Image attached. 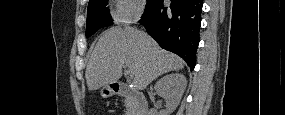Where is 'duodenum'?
Wrapping results in <instances>:
<instances>
[{
    "mask_svg": "<svg viewBox=\"0 0 285 115\" xmlns=\"http://www.w3.org/2000/svg\"><path fill=\"white\" fill-rule=\"evenodd\" d=\"M111 91L115 95H122L131 99L132 115H147L148 106L144 96L137 90L123 82H114L111 84Z\"/></svg>",
    "mask_w": 285,
    "mask_h": 115,
    "instance_id": "obj_1",
    "label": "duodenum"
}]
</instances>
